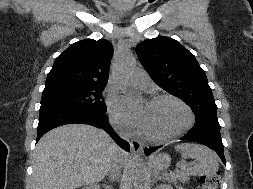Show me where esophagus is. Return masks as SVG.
I'll return each instance as SVG.
<instances>
[{"instance_id":"esophagus-1","label":"esophagus","mask_w":253,"mask_h":189,"mask_svg":"<svg viewBox=\"0 0 253 189\" xmlns=\"http://www.w3.org/2000/svg\"><path fill=\"white\" fill-rule=\"evenodd\" d=\"M131 150L134 154H137L139 152L142 151V145L140 143V141L136 140V139H132L131 140Z\"/></svg>"}]
</instances>
